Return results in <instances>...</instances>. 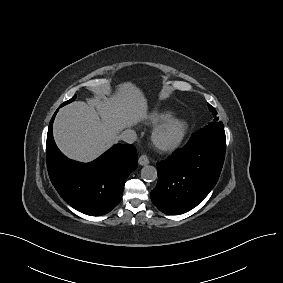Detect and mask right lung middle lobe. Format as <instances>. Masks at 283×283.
<instances>
[{
	"mask_svg": "<svg viewBox=\"0 0 283 283\" xmlns=\"http://www.w3.org/2000/svg\"><path fill=\"white\" fill-rule=\"evenodd\" d=\"M75 98H76V95H75V96H73L70 100H68V101L64 102L61 106H63V105H65V104H68V103H70V102L74 101V100H75Z\"/></svg>",
	"mask_w": 283,
	"mask_h": 283,
	"instance_id": "obj_1",
	"label": "right lung middle lobe"
}]
</instances>
